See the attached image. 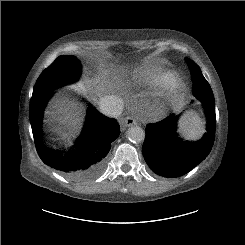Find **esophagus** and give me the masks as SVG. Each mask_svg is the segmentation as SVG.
<instances>
[{
  "label": "esophagus",
  "instance_id": "1",
  "mask_svg": "<svg viewBox=\"0 0 245 245\" xmlns=\"http://www.w3.org/2000/svg\"><path fill=\"white\" fill-rule=\"evenodd\" d=\"M123 124L126 126V127H130V126H133V125H136L137 122L134 118L132 117H126L124 120H123Z\"/></svg>",
  "mask_w": 245,
  "mask_h": 245
}]
</instances>
